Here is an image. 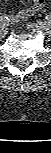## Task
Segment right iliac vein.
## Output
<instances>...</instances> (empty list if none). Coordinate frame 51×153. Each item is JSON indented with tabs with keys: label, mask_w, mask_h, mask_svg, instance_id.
I'll use <instances>...</instances> for the list:
<instances>
[{
	"label": "right iliac vein",
	"mask_w": 51,
	"mask_h": 153,
	"mask_svg": "<svg viewBox=\"0 0 51 153\" xmlns=\"http://www.w3.org/2000/svg\"><path fill=\"white\" fill-rule=\"evenodd\" d=\"M7 33H8V28L6 27V25L1 24L0 35L5 36Z\"/></svg>",
	"instance_id": "right-iliac-vein-1"
}]
</instances>
